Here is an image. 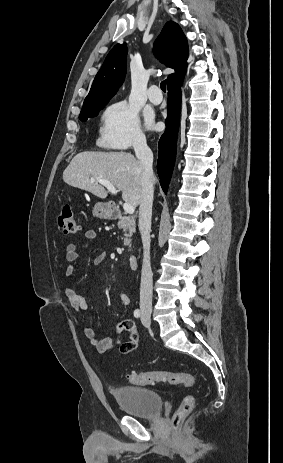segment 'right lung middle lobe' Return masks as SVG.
Returning <instances> with one entry per match:
<instances>
[{"label":"right lung middle lobe","mask_w":283,"mask_h":463,"mask_svg":"<svg viewBox=\"0 0 283 463\" xmlns=\"http://www.w3.org/2000/svg\"><path fill=\"white\" fill-rule=\"evenodd\" d=\"M109 100L99 102L92 105L83 106L79 115L81 121H86L88 118H92L98 115L99 111L104 108Z\"/></svg>","instance_id":"1"}]
</instances>
